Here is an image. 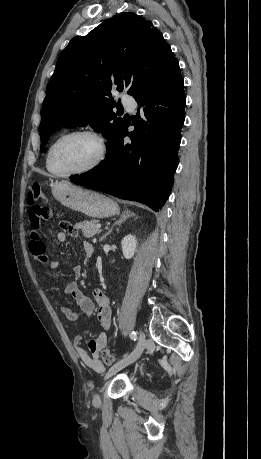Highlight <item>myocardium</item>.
I'll list each match as a JSON object with an SVG mask.
<instances>
[{
	"instance_id": "myocardium-1",
	"label": "myocardium",
	"mask_w": 261,
	"mask_h": 459,
	"mask_svg": "<svg viewBox=\"0 0 261 459\" xmlns=\"http://www.w3.org/2000/svg\"><path fill=\"white\" fill-rule=\"evenodd\" d=\"M70 136H87L91 138L96 144L97 153L94 159L89 164H87L86 166L78 170L71 171L68 173H56L51 169V166H50V161H51L53 150L61 140L67 137H70ZM106 154H107V146L105 144V141L97 132L93 130H89V129H73V130H69V131H66L60 134L58 137H56L52 141L48 149L47 156H46V168L53 176H56L59 178H69V177L76 176V175H82V174L91 172L94 169H96L103 162V160L106 157Z\"/></svg>"
}]
</instances>
